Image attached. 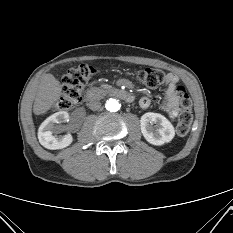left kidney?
Wrapping results in <instances>:
<instances>
[{
    "label": "left kidney",
    "mask_w": 233,
    "mask_h": 233,
    "mask_svg": "<svg viewBox=\"0 0 233 233\" xmlns=\"http://www.w3.org/2000/svg\"><path fill=\"white\" fill-rule=\"evenodd\" d=\"M153 124H156L153 126ZM141 132L144 138L153 145H163L175 136L171 122L159 113H145L140 120Z\"/></svg>",
    "instance_id": "left-kidney-1"
}]
</instances>
